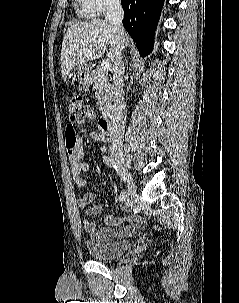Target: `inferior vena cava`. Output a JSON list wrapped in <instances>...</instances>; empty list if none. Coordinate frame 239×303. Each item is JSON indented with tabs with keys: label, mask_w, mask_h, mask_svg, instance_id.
Segmentation results:
<instances>
[{
	"label": "inferior vena cava",
	"mask_w": 239,
	"mask_h": 303,
	"mask_svg": "<svg viewBox=\"0 0 239 303\" xmlns=\"http://www.w3.org/2000/svg\"><path fill=\"white\" fill-rule=\"evenodd\" d=\"M124 12L120 0H109L105 20L114 26L116 32V52L113 66V128L111 135V150L121 151L123 146V134L126 122V105L123 98L124 63L122 51L125 44V29L122 25Z\"/></svg>",
	"instance_id": "1"
}]
</instances>
